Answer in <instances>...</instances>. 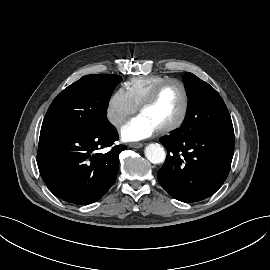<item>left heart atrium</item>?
<instances>
[{
  "mask_svg": "<svg viewBox=\"0 0 270 270\" xmlns=\"http://www.w3.org/2000/svg\"><path fill=\"white\" fill-rule=\"evenodd\" d=\"M157 131V127L146 116L140 114L121 128V138L126 142H137L151 137Z\"/></svg>",
  "mask_w": 270,
  "mask_h": 270,
  "instance_id": "obj_1",
  "label": "left heart atrium"
}]
</instances>
